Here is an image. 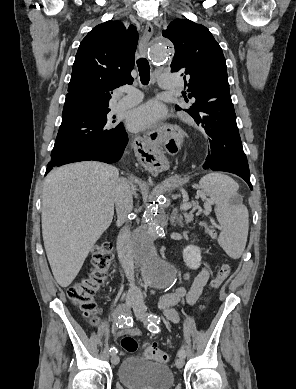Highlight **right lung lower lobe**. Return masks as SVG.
I'll list each match as a JSON object with an SVG mask.
<instances>
[{"label":"right lung lower lobe","mask_w":296,"mask_h":389,"mask_svg":"<svg viewBox=\"0 0 296 389\" xmlns=\"http://www.w3.org/2000/svg\"><path fill=\"white\" fill-rule=\"evenodd\" d=\"M128 142V135L124 129L122 138L118 141L111 143L110 145H98L90 148H82L75 153V156L62 155L51 158V164L46 170V174L51 168L61 166L68 163L79 162V161H101L105 163H114L120 160L125 146Z\"/></svg>","instance_id":"right-lung-lower-lobe-1"}]
</instances>
